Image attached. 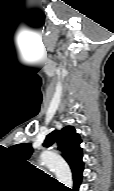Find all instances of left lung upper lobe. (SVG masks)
<instances>
[{
  "instance_id": "obj_1",
  "label": "left lung upper lobe",
  "mask_w": 114,
  "mask_h": 191,
  "mask_svg": "<svg viewBox=\"0 0 114 191\" xmlns=\"http://www.w3.org/2000/svg\"><path fill=\"white\" fill-rule=\"evenodd\" d=\"M54 142L58 144V150L73 170L82 163V149L80 148L81 139L72 126L64 127L60 131H53L48 134L43 145L51 146ZM19 159L26 161L32 154L31 144H16L9 148Z\"/></svg>"
}]
</instances>
